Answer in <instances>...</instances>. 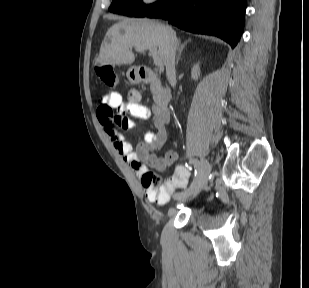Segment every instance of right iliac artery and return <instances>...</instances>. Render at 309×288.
Listing matches in <instances>:
<instances>
[{"label": "right iliac artery", "instance_id": "82829eb1", "mask_svg": "<svg viewBox=\"0 0 309 288\" xmlns=\"http://www.w3.org/2000/svg\"><path fill=\"white\" fill-rule=\"evenodd\" d=\"M195 176H194V181L192 182V184L188 185L187 188H184V190H177V192H173L172 193V198L173 199H178L179 196L181 195L182 197H186L187 193H191L193 190H195V188L197 187V185L199 184V177H200V169H201V164H199L198 162L195 163Z\"/></svg>", "mask_w": 309, "mask_h": 288}]
</instances>
